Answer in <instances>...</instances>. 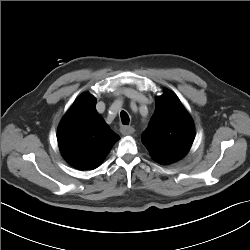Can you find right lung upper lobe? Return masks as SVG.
<instances>
[{"label":"right lung upper lobe","mask_w":250,"mask_h":250,"mask_svg":"<svg viewBox=\"0 0 250 250\" xmlns=\"http://www.w3.org/2000/svg\"><path fill=\"white\" fill-rule=\"evenodd\" d=\"M57 139L69 164L80 170H92L100 165L120 137L96 111L95 98L84 93L63 117Z\"/></svg>","instance_id":"right-lung-upper-lobe-1"}]
</instances>
